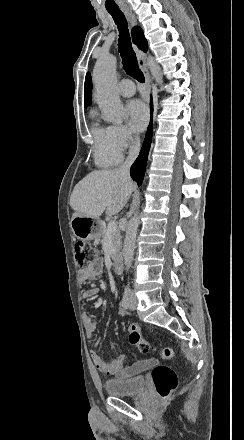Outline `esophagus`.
<instances>
[{"label":"esophagus","mask_w":244,"mask_h":440,"mask_svg":"<svg viewBox=\"0 0 244 440\" xmlns=\"http://www.w3.org/2000/svg\"><path fill=\"white\" fill-rule=\"evenodd\" d=\"M121 9L124 12L125 16L127 17V19L129 20L130 24L133 26L137 25L136 17L134 15V13L132 12L131 8L121 7ZM135 51H136V55H137L138 65L141 68V70L145 76L146 91H147V94L149 95L151 92V78H150V74L148 72L147 65H146V56L138 48H135Z\"/></svg>","instance_id":"1"}]
</instances>
